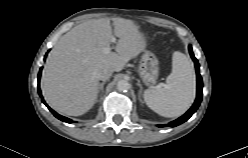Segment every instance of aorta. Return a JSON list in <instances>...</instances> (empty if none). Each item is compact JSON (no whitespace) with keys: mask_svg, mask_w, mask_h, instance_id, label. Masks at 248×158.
<instances>
[{"mask_svg":"<svg viewBox=\"0 0 248 158\" xmlns=\"http://www.w3.org/2000/svg\"><path fill=\"white\" fill-rule=\"evenodd\" d=\"M131 85L128 81L126 80H120L117 83V89L120 92H127L130 89Z\"/></svg>","mask_w":248,"mask_h":158,"instance_id":"aorta-1","label":"aorta"}]
</instances>
